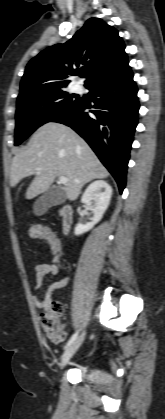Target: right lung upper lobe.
Returning <instances> with one entry per match:
<instances>
[{
	"label": "right lung upper lobe",
	"mask_w": 165,
	"mask_h": 419,
	"mask_svg": "<svg viewBox=\"0 0 165 419\" xmlns=\"http://www.w3.org/2000/svg\"><path fill=\"white\" fill-rule=\"evenodd\" d=\"M124 49L113 27L90 18L68 42L45 49L28 63L17 102L37 93L63 89L70 82V75L83 72L87 87L128 62Z\"/></svg>",
	"instance_id": "1"
}]
</instances>
